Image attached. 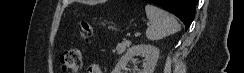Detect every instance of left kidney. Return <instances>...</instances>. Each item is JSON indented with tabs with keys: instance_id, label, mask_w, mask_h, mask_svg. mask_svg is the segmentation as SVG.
Here are the masks:
<instances>
[{
	"instance_id": "1",
	"label": "left kidney",
	"mask_w": 244,
	"mask_h": 73,
	"mask_svg": "<svg viewBox=\"0 0 244 73\" xmlns=\"http://www.w3.org/2000/svg\"><path fill=\"white\" fill-rule=\"evenodd\" d=\"M134 56L145 57L142 69L138 70L137 73H154L155 66L159 59V49L149 44L134 45L129 48L125 55H123L112 73H122V70L126 68L129 60Z\"/></svg>"
}]
</instances>
